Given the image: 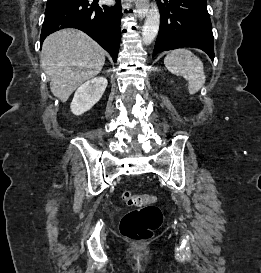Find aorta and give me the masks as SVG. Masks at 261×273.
Listing matches in <instances>:
<instances>
[{"label": "aorta", "instance_id": "762f6f07", "mask_svg": "<svg viewBox=\"0 0 261 273\" xmlns=\"http://www.w3.org/2000/svg\"><path fill=\"white\" fill-rule=\"evenodd\" d=\"M160 25V14L156 4L151 5V9L149 10L143 30H142V40L145 45L151 44L155 37L158 34Z\"/></svg>", "mask_w": 261, "mask_h": 273}]
</instances>
